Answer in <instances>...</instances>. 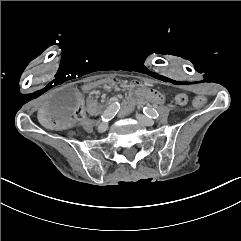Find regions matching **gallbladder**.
I'll return each mask as SVG.
<instances>
[{"mask_svg":"<svg viewBox=\"0 0 241 241\" xmlns=\"http://www.w3.org/2000/svg\"><path fill=\"white\" fill-rule=\"evenodd\" d=\"M79 103V91L74 86H66L48 102L51 114L59 119H69Z\"/></svg>","mask_w":241,"mask_h":241,"instance_id":"1","label":"gallbladder"}]
</instances>
